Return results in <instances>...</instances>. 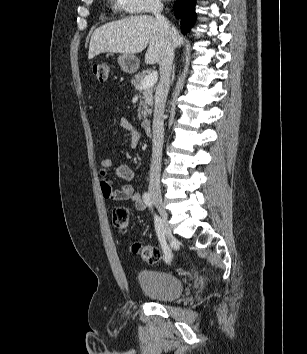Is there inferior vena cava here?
<instances>
[{
	"label": "inferior vena cava",
	"mask_w": 307,
	"mask_h": 354,
	"mask_svg": "<svg viewBox=\"0 0 307 354\" xmlns=\"http://www.w3.org/2000/svg\"><path fill=\"white\" fill-rule=\"evenodd\" d=\"M152 13L159 26L162 36L163 50L159 62L160 81L155 93V109L153 116V139H152V158L150 165L149 191L161 192L160 189V171L162 161V148L164 141V110L167 100L172 63L174 58L173 33L169 22L161 15L163 6L160 3L153 5Z\"/></svg>",
	"instance_id": "inferior-vena-cava-1"
}]
</instances>
